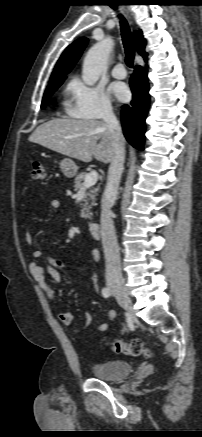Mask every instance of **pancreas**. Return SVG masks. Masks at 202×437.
<instances>
[{
  "label": "pancreas",
  "instance_id": "obj_1",
  "mask_svg": "<svg viewBox=\"0 0 202 437\" xmlns=\"http://www.w3.org/2000/svg\"><path fill=\"white\" fill-rule=\"evenodd\" d=\"M87 176V173L82 172L80 174H78L74 180V190L75 191H79L82 189L83 187V182L85 180V177ZM98 192V188H86L85 189V194L83 195V203L82 205V209H81V213H80V217L81 218H90L92 213L90 212V209L92 208V206H95L96 203V195ZM90 202V203H89Z\"/></svg>",
  "mask_w": 202,
  "mask_h": 437
}]
</instances>
